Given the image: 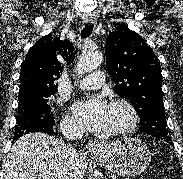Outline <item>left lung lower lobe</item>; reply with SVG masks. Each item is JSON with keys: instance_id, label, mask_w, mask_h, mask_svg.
I'll use <instances>...</instances> for the list:
<instances>
[{"instance_id": "obj_1", "label": "left lung lower lobe", "mask_w": 183, "mask_h": 179, "mask_svg": "<svg viewBox=\"0 0 183 179\" xmlns=\"http://www.w3.org/2000/svg\"><path fill=\"white\" fill-rule=\"evenodd\" d=\"M164 140H165L167 143L173 145V144H172V141H171V138H166V139H164Z\"/></svg>"}]
</instances>
